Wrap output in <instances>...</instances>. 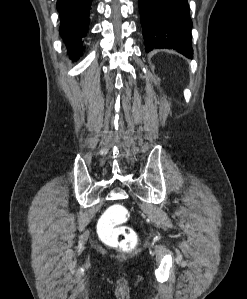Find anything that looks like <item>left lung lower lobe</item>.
<instances>
[{"label": "left lung lower lobe", "instance_id": "obj_1", "mask_svg": "<svg viewBox=\"0 0 247 299\" xmlns=\"http://www.w3.org/2000/svg\"><path fill=\"white\" fill-rule=\"evenodd\" d=\"M146 51L174 49L192 58V21L187 0H139Z\"/></svg>", "mask_w": 247, "mask_h": 299}]
</instances>
